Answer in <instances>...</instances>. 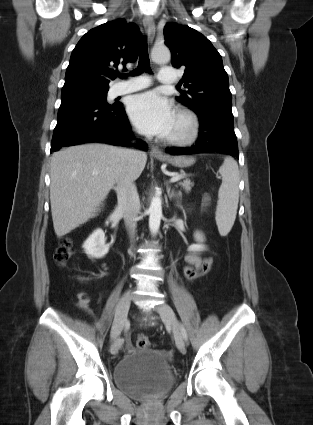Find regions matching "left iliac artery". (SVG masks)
<instances>
[{
	"label": "left iliac artery",
	"mask_w": 313,
	"mask_h": 425,
	"mask_svg": "<svg viewBox=\"0 0 313 425\" xmlns=\"http://www.w3.org/2000/svg\"><path fill=\"white\" fill-rule=\"evenodd\" d=\"M180 330H181V333L183 335V338L185 339V341H187L188 340V335H187V332H186V330H185V328H184V326L182 324H180Z\"/></svg>",
	"instance_id": "left-iliac-artery-1"
}]
</instances>
